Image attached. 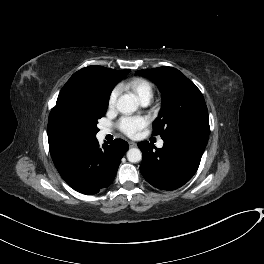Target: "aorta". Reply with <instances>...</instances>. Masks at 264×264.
Listing matches in <instances>:
<instances>
[{"mask_svg": "<svg viewBox=\"0 0 264 264\" xmlns=\"http://www.w3.org/2000/svg\"><path fill=\"white\" fill-rule=\"evenodd\" d=\"M138 106V99L133 94H124L117 101V109L123 114H132ZM127 159L131 163H137L142 159V153L138 148H131L127 152Z\"/></svg>", "mask_w": 264, "mask_h": 264, "instance_id": "1", "label": "aorta"}]
</instances>
